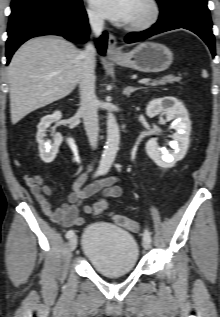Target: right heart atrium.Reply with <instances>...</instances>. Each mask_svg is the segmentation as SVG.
<instances>
[{"label": "right heart atrium", "instance_id": "1", "mask_svg": "<svg viewBox=\"0 0 220 317\" xmlns=\"http://www.w3.org/2000/svg\"><path fill=\"white\" fill-rule=\"evenodd\" d=\"M87 17L93 26H101L103 23L101 16L91 8L87 9Z\"/></svg>", "mask_w": 220, "mask_h": 317}]
</instances>
